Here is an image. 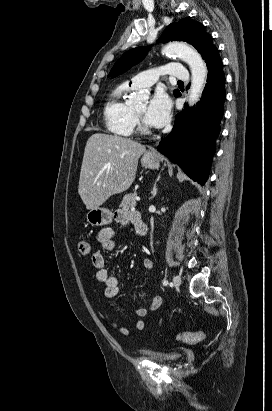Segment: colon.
<instances>
[{
    "label": "colon",
    "instance_id": "colon-1",
    "mask_svg": "<svg viewBox=\"0 0 272 411\" xmlns=\"http://www.w3.org/2000/svg\"><path fill=\"white\" fill-rule=\"evenodd\" d=\"M78 249L81 254L87 255L90 253V244L86 240H81L78 243ZM204 337L202 331L179 332L175 335V339L184 343H197Z\"/></svg>",
    "mask_w": 272,
    "mask_h": 411
}]
</instances>
